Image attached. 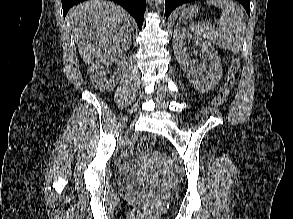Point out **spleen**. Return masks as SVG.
I'll return each mask as SVG.
<instances>
[{
  "label": "spleen",
  "instance_id": "1",
  "mask_svg": "<svg viewBox=\"0 0 293 219\" xmlns=\"http://www.w3.org/2000/svg\"><path fill=\"white\" fill-rule=\"evenodd\" d=\"M209 5H214L222 10L217 27L208 24H190V29L198 37L213 43L233 53H238L246 30V22L242 9L231 0H210Z\"/></svg>",
  "mask_w": 293,
  "mask_h": 219
}]
</instances>
